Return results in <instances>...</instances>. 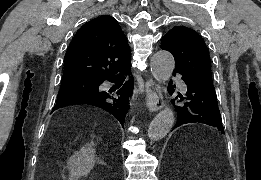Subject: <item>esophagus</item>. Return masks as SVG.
I'll use <instances>...</instances> for the list:
<instances>
[{"instance_id": "34e87169", "label": "esophagus", "mask_w": 261, "mask_h": 180, "mask_svg": "<svg viewBox=\"0 0 261 180\" xmlns=\"http://www.w3.org/2000/svg\"><path fill=\"white\" fill-rule=\"evenodd\" d=\"M145 92H146V105L150 111H157L163 108L164 101L163 95L161 93L158 83L149 78L145 83Z\"/></svg>"}]
</instances>
